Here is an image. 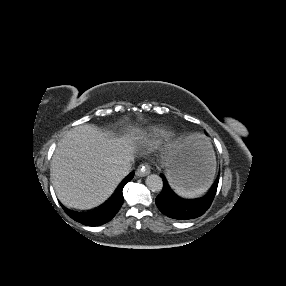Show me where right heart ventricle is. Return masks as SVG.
<instances>
[{
  "label": "right heart ventricle",
  "mask_w": 286,
  "mask_h": 286,
  "mask_svg": "<svg viewBox=\"0 0 286 286\" xmlns=\"http://www.w3.org/2000/svg\"><path fill=\"white\" fill-rule=\"evenodd\" d=\"M176 134V130L170 126L156 124L148 127L142 134V138H153L167 140Z\"/></svg>",
  "instance_id": "e07e8e85"
}]
</instances>
